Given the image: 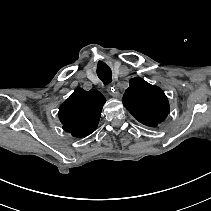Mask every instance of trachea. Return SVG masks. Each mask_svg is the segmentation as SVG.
<instances>
[{"instance_id":"obj_1","label":"trachea","mask_w":211,"mask_h":211,"mask_svg":"<svg viewBox=\"0 0 211 211\" xmlns=\"http://www.w3.org/2000/svg\"><path fill=\"white\" fill-rule=\"evenodd\" d=\"M96 72L100 80L104 83V85H107L112 82L111 69L105 63H103L102 65H98Z\"/></svg>"}]
</instances>
